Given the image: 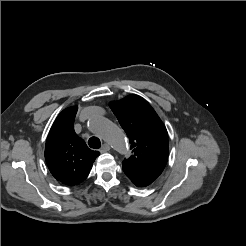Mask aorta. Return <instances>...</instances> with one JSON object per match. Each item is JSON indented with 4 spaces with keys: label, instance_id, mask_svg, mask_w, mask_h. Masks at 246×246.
Wrapping results in <instances>:
<instances>
[{
    "label": "aorta",
    "instance_id": "762f6f07",
    "mask_svg": "<svg viewBox=\"0 0 246 246\" xmlns=\"http://www.w3.org/2000/svg\"><path fill=\"white\" fill-rule=\"evenodd\" d=\"M89 129L112 145L118 152L127 153L125 135L123 131L108 119L94 116L88 121Z\"/></svg>",
    "mask_w": 246,
    "mask_h": 246
}]
</instances>
